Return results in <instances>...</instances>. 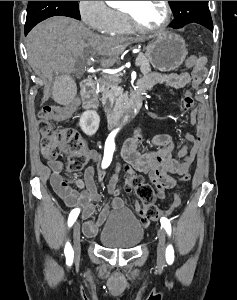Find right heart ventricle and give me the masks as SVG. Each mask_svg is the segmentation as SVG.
I'll list each match as a JSON object with an SVG mask.
<instances>
[{"label":"right heart ventricle","instance_id":"right-heart-ventricle-1","mask_svg":"<svg viewBox=\"0 0 237 300\" xmlns=\"http://www.w3.org/2000/svg\"><path fill=\"white\" fill-rule=\"evenodd\" d=\"M133 31V28L127 22L124 14L121 11H115V33L117 34H129Z\"/></svg>","mask_w":237,"mask_h":300}]
</instances>
